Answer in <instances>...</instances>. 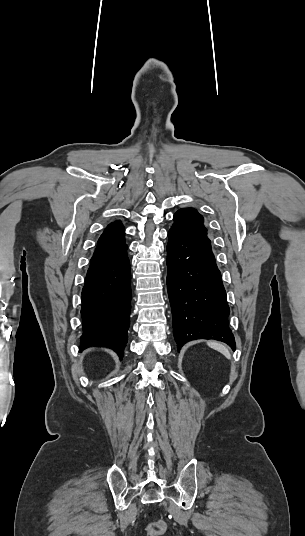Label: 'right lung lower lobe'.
Wrapping results in <instances>:
<instances>
[{
  "instance_id": "98d812e1",
  "label": "right lung lower lobe",
  "mask_w": 305,
  "mask_h": 536,
  "mask_svg": "<svg viewBox=\"0 0 305 536\" xmlns=\"http://www.w3.org/2000/svg\"><path fill=\"white\" fill-rule=\"evenodd\" d=\"M127 245L93 255L82 290L83 335L80 350L109 347L122 359L131 310Z\"/></svg>"
}]
</instances>
